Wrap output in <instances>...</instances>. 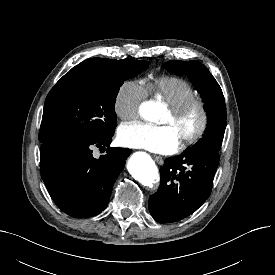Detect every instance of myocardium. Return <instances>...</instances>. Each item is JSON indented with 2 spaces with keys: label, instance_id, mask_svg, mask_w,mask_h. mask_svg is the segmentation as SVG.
Listing matches in <instances>:
<instances>
[{
  "label": "myocardium",
  "instance_id": "obj_1",
  "mask_svg": "<svg viewBox=\"0 0 275 275\" xmlns=\"http://www.w3.org/2000/svg\"><path fill=\"white\" fill-rule=\"evenodd\" d=\"M197 109L200 113V122L197 129L189 136L180 141V148L184 149L196 143L206 132L209 124V111L206 103L198 97H193L184 102L169 107L168 111L173 119L177 120L186 115L189 111Z\"/></svg>",
  "mask_w": 275,
  "mask_h": 275
}]
</instances>
